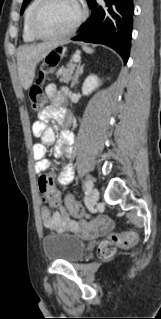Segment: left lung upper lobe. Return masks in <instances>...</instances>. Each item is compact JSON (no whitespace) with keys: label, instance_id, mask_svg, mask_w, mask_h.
Wrapping results in <instances>:
<instances>
[{"label":"left lung upper lobe","instance_id":"left-lung-upper-lobe-1","mask_svg":"<svg viewBox=\"0 0 161 319\" xmlns=\"http://www.w3.org/2000/svg\"><path fill=\"white\" fill-rule=\"evenodd\" d=\"M31 0H24V2H23V5H22V8H21V14L23 13V11H24V9H25V7L27 6V4L30 2ZM89 0H87V2H88Z\"/></svg>","mask_w":161,"mask_h":319}]
</instances>
